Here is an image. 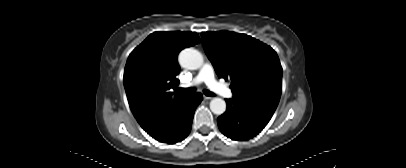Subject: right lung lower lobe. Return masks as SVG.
<instances>
[{
  "mask_svg": "<svg viewBox=\"0 0 406 168\" xmlns=\"http://www.w3.org/2000/svg\"><path fill=\"white\" fill-rule=\"evenodd\" d=\"M202 99L200 93L187 96L147 133L154 139L168 144L182 141L190 133L194 112Z\"/></svg>",
  "mask_w": 406,
  "mask_h": 168,
  "instance_id": "98d812e1",
  "label": "right lung lower lobe"
}]
</instances>
